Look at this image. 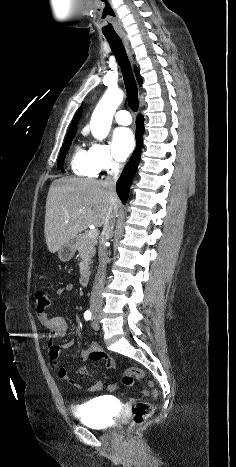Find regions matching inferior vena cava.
Wrapping results in <instances>:
<instances>
[{
  "label": "inferior vena cava",
  "instance_id": "602c4592",
  "mask_svg": "<svg viewBox=\"0 0 236 467\" xmlns=\"http://www.w3.org/2000/svg\"><path fill=\"white\" fill-rule=\"evenodd\" d=\"M120 173L119 167L113 168V170L108 174L106 177L104 184L110 190L112 194L115 193V185ZM117 212V211H116ZM112 215V204L109 208V213L105 219L103 230L100 236V243L98 248V256H99V266L97 270V274L95 276V280L93 283L91 297H90V307L92 309L96 307H102L103 305V298H102V291L104 288V281H105V272H106V265L108 262V254L106 249V242L112 236L113 229H114V217L116 215Z\"/></svg>",
  "mask_w": 236,
  "mask_h": 467
}]
</instances>
